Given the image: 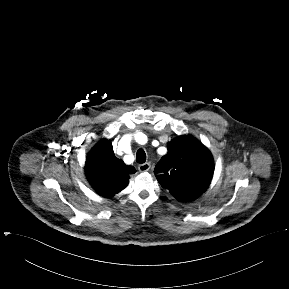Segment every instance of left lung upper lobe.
Masks as SVG:
<instances>
[{"mask_svg":"<svg viewBox=\"0 0 289 289\" xmlns=\"http://www.w3.org/2000/svg\"><path fill=\"white\" fill-rule=\"evenodd\" d=\"M168 153L157 163L155 173L161 186L179 201H191L209 186L214 162L210 151L189 135L167 144Z\"/></svg>","mask_w":289,"mask_h":289,"instance_id":"obj_1","label":"left lung upper lobe"}]
</instances>
